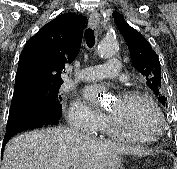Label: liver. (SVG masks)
<instances>
[{
	"label": "liver",
	"instance_id": "obj_1",
	"mask_svg": "<svg viewBox=\"0 0 177 169\" xmlns=\"http://www.w3.org/2000/svg\"><path fill=\"white\" fill-rule=\"evenodd\" d=\"M139 150L66 128L24 132L12 138L1 169H105L118 155Z\"/></svg>",
	"mask_w": 177,
	"mask_h": 169
}]
</instances>
